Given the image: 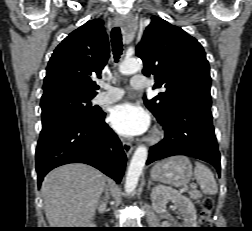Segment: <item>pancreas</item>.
Here are the masks:
<instances>
[{"mask_svg":"<svg viewBox=\"0 0 252 231\" xmlns=\"http://www.w3.org/2000/svg\"><path fill=\"white\" fill-rule=\"evenodd\" d=\"M189 195H190V197H191L192 199L197 200V202H198V199L202 197V195L200 194V192L197 191V190H192V191H190V192H189Z\"/></svg>","mask_w":252,"mask_h":231,"instance_id":"pancreas-1","label":"pancreas"}]
</instances>
